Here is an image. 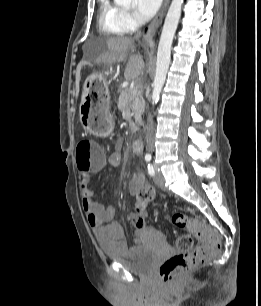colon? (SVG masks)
<instances>
[{"label": "colon", "instance_id": "1", "mask_svg": "<svg viewBox=\"0 0 261 306\" xmlns=\"http://www.w3.org/2000/svg\"><path fill=\"white\" fill-rule=\"evenodd\" d=\"M102 134H108V129H101ZM104 160L103 151L96 147L90 140H81L76 148V161L80 170L86 171ZM154 196L153 188L143 185L137 193V216L133 220V226L141 229L145 225L144 211ZM174 225L185 228L187 234L179 235L175 240L178 253L167 258L159 267V274L164 283H174L196 266L206 262L219 248L218 235L207 225L189 217L183 212H176L171 216ZM196 240L201 241L199 246Z\"/></svg>", "mask_w": 261, "mask_h": 306}]
</instances>
